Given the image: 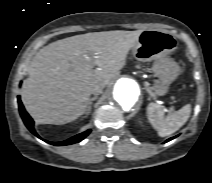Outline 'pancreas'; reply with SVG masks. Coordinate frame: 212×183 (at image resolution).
<instances>
[{"mask_svg": "<svg viewBox=\"0 0 212 183\" xmlns=\"http://www.w3.org/2000/svg\"><path fill=\"white\" fill-rule=\"evenodd\" d=\"M147 90H148L149 92H151V88L147 87ZM151 93H152V92H151Z\"/></svg>", "mask_w": 212, "mask_h": 183, "instance_id": "1", "label": "pancreas"}]
</instances>
